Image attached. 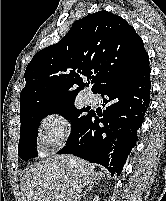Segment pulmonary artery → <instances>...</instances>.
I'll list each match as a JSON object with an SVG mask.
<instances>
[{"label":"pulmonary artery","mask_w":166,"mask_h":201,"mask_svg":"<svg viewBox=\"0 0 166 201\" xmlns=\"http://www.w3.org/2000/svg\"><path fill=\"white\" fill-rule=\"evenodd\" d=\"M84 101L89 104L93 102V96L90 93H85L84 94Z\"/></svg>","instance_id":"1"}]
</instances>
